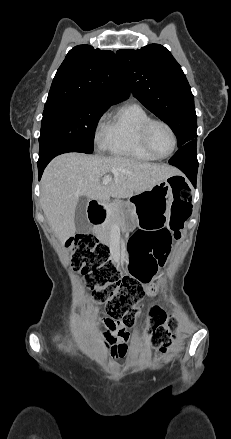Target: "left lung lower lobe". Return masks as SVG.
I'll return each instance as SVG.
<instances>
[{
    "mask_svg": "<svg viewBox=\"0 0 231 439\" xmlns=\"http://www.w3.org/2000/svg\"><path fill=\"white\" fill-rule=\"evenodd\" d=\"M196 139L181 146L174 156L168 161L169 164L179 168L192 184L196 185L198 161L196 155Z\"/></svg>",
    "mask_w": 231,
    "mask_h": 439,
    "instance_id": "1",
    "label": "left lung lower lobe"
}]
</instances>
